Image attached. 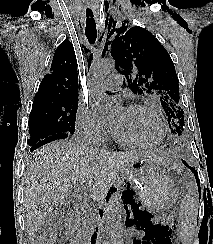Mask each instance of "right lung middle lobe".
Listing matches in <instances>:
<instances>
[{
  "mask_svg": "<svg viewBox=\"0 0 213 244\" xmlns=\"http://www.w3.org/2000/svg\"><path fill=\"white\" fill-rule=\"evenodd\" d=\"M77 98L34 99L29 116L30 146L59 133L75 131Z\"/></svg>",
  "mask_w": 213,
  "mask_h": 244,
  "instance_id": "1",
  "label": "right lung middle lobe"
}]
</instances>
